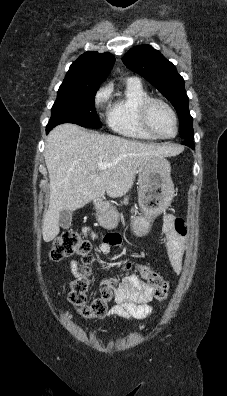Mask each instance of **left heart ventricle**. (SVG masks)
I'll return each mask as SVG.
<instances>
[{"label":"left heart ventricle","instance_id":"obj_1","mask_svg":"<svg viewBox=\"0 0 227 396\" xmlns=\"http://www.w3.org/2000/svg\"><path fill=\"white\" fill-rule=\"evenodd\" d=\"M150 121L153 128L163 136H172L175 132L174 119L171 113L161 104L152 106Z\"/></svg>","mask_w":227,"mask_h":396}]
</instances>
